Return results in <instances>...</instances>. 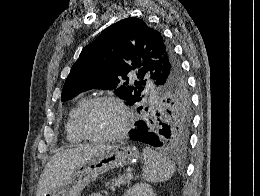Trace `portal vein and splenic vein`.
Instances as JSON below:
<instances>
[{
  "instance_id": "18ae733b",
  "label": "portal vein and splenic vein",
  "mask_w": 260,
  "mask_h": 196,
  "mask_svg": "<svg viewBox=\"0 0 260 196\" xmlns=\"http://www.w3.org/2000/svg\"><path fill=\"white\" fill-rule=\"evenodd\" d=\"M133 176L131 174V172H129V174H127L126 176V180H132Z\"/></svg>"
}]
</instances>
